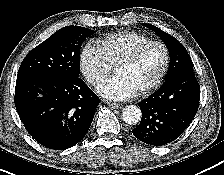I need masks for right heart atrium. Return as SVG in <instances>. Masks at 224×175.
Segmentation results:
<instances>
[{
  "label": "right heart atrium",
  "instance_id": "right-heart-atrium-1",
  "mask_svg": "<svg viewBox=\"0 0 224 175\" xmlns=\"http://www.w3.org/2000/svg\"><path fill=\"white\" fill-rule=\"evenodd\" d=\"M80 66L86 80L93 86L100 84L112 69V64L103 50L92 44H87L82 49Z\"/></svg>",
  "mask_w": 224,
  "mask_h": 175
}]
</instances>
